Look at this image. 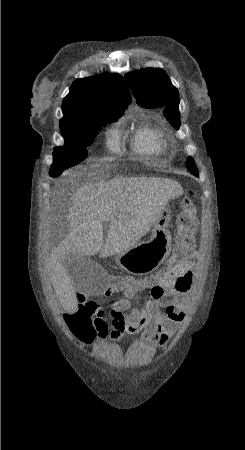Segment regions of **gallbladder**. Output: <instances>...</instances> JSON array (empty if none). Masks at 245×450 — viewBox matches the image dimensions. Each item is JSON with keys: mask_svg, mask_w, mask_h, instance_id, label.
Listing matches in <instances>:
<instances>
[{"mask_svg": "<svg viewBox=\"0 0 245 450\" xmlns=\"http://www.w3.org/2000/svg\"><path fill=\"white\" fill-rule=\"evenodd\" d=\"M90 263H92V261L89 257L79 256L78 254L70 255L65 261L68 274L75 283Z\"/></svg>", "mask_w": 245, "mask_h": 450, "instance_id": "gallbladder-1", "label": "gallbladder"}]
</instances>
